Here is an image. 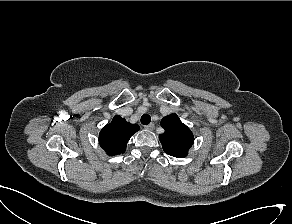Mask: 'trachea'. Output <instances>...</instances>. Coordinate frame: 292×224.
<instances>
[{"label": "trachea", "mask_w": 292, "mask_h": 224, "mask_svg": "<svg viewBox=\"0 0 292 224\" xmlns=\"http://www.w3.org/2000/svg\"><path fill=\"white\" fill-rule=\"evenodd\" d=\"M151 121V117L148 114H144L141 116V123L144 125L149 124Z\"/></svg>", "instance_id": "trachea-1"}]
</instances>
